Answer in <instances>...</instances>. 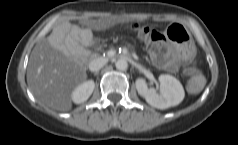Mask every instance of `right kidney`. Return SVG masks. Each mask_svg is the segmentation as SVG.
I'll return each mask as SVG.
<instances>
[{
    "instance_id": "ca27d5eb",
    "label": "right kidney",
    "mask_w": 238,
    "mask_h": 145,
    "mask_svg": "<svg viewBox=\"0 0 238 145\" xmlns=\"http://www.w3.org/2000/svg\"><path fill=\"white\" fill-rule=\"evenodd\" d=\"M94 88H95V83L93 80H88L81 83L72 92V95H71L72 101L76 104L84 103L91 96Z\"/></svg>"
}]
</instances>
